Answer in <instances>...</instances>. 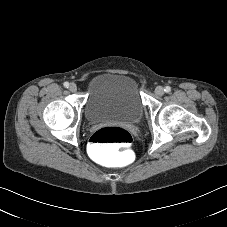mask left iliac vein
Returning <instances> with one entry per match:
<instances>
[{
	"label": "left iliac vein",
	"instance_id": "4c4485c4",
	"mask_svg": "<svg viewBox=\"0 0 227 227\" xmlns=\"http://www.w3.org/2000/svg\"><path fill=\"white\" fill-rule=\"evenodd\" d=\"M155 92H156L157 95L162 96V95L164 94V89H163V87L158 86V87L155 89Z\"/></svg>",
	"mask_w": 227,
	"mask_h": 227
}]
</instances>
